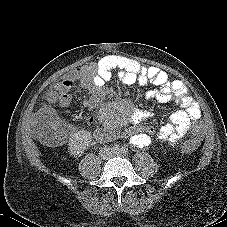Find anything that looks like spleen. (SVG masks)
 Listing matches in <instances>:
<instances>
[{
	"label": "spleen",
	"mask_w": 227,
	"mask_h": 227,
	"mask_svg": "<svg viewBox=\"0 0 227 227\" xmlns=\"http://www.w3.org/2000/svg\"><path fill=\"white\" fill-rule=\"evenodd\" d=\"M189 136L193 140H200L204 136V129L200 125H193L189 129Z\"/></svg>",
	"instance_id": "spleen-1"
}]
</instances>
